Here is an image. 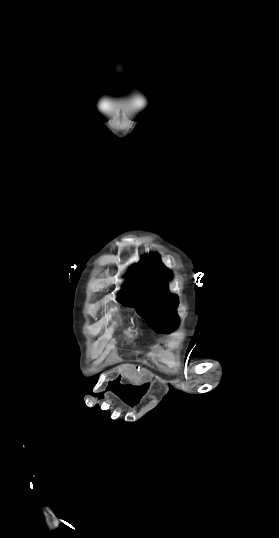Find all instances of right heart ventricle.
Masks as SVG:
<instances>
[{
    "label": "right heart ventricle",
    "mask_w": 279,
    "mask_h": 538,
    "mask_svg": "<svg viewBox=\"0 0 279 538\" xmlns=\"http://www.w3.org/2000/svg\"><path fill=\"white\" fill-rule=\"evenodd\" d=\"M104 220L105 216L98 214L91 223L92 228L98 230V228H100V226L103 224Z\"/></svg>",
    "instance_id": "right-heart-ventricle-1"
}]
</instances>
